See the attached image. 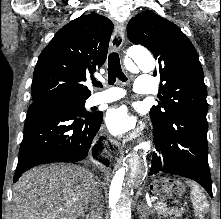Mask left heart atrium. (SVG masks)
<instances>
[{
  "label": "left heart atrium",
  "mask_w": 221,
  "mask_h": 219,
  "mask_svg": "<svg viewBox=\"0 0 221 219\" xmlns=\"http://www.w3.org/2000/svg\"><path fill=\"white\" fill-rule=\"evenodd\" d=\"M105 123L113 135L121 136L132 131L137 120L127 106L121 105L112 107L106 112Z\"/></svg>",
  "instance_id": "left-heart-atrium-1"
}]
</instances>
